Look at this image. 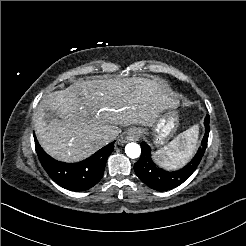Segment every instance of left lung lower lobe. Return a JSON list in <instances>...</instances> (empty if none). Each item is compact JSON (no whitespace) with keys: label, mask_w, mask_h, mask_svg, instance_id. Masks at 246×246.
I'll use <instances>...</instances> for the list:
<instances>
[{"label":"left lung lower lobe","mask_w":246,"mask_h":246,"mask_svg":"<svg viewBox=\"0 0 246 246\" xmlns=\"http://www.w3.org/2000/svg\"><path fill=\"white\" fill-rule=\"evenodd\" d=\"M204 124L205 135L201 147L191 162L176 172H168L159 168L151 158L150 147L145 142H142L141 157L134 164V170L139 179L148 187L158 191L169 190L182 184L196 170L206 150L209 134V115H206Z\"/></svg>","instance_id":"left-lung-lower-lobe-1"}]
</instances>
